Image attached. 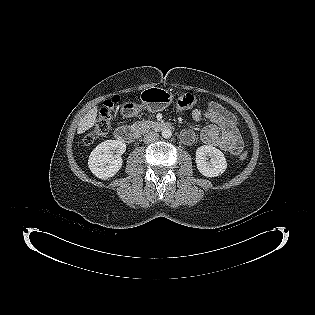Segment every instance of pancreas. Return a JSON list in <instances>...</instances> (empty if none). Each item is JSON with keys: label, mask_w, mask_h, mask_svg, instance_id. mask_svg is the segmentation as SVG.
<instances>
[{"label": "pancreas", "mask_w": 315, "mask_h": 315, "mask_svg": "<svg viewBox=\"0 0 315 315\" xmlns=\"http://www.w3.org/2000/svg\"><path fill=\"white\" fill-rule=\"evenodd\" d=\"M137 129H139L141 132H145L149 128L148 122H138L134 125Z\"/></svg>", "instance_id": "cf45deb5"}]
</instances>
